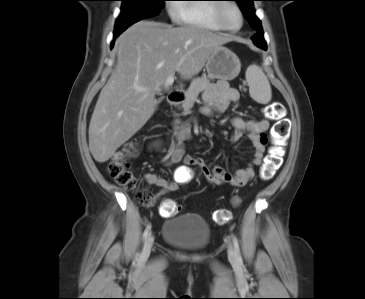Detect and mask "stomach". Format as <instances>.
I'll return each mask as SVG.
<instances>
[{
    "mask_svg": "<svg viewBox=\"0 0 365 299\" xmlns=\"http://www.w3.org/2000/svg\"><path fill=\"white\" fill-rule=\"evenodd\" d=\"M208 77L211 79H234L241 70L237 55L226 47L216 49L206 63Z\"/></svg>",
    "mask_w": 365,
    "mask_h": 299,
    "instance_id": "0dacf381",
    "label": "stomach"
}]
</instances>
